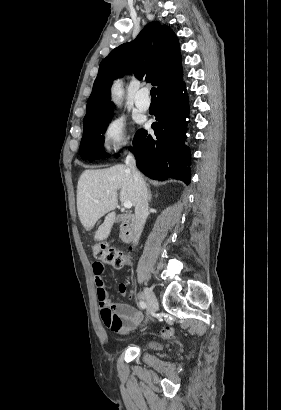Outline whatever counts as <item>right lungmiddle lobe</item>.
Returning <instances> with one entry per match:
<instances>
[{"mask_svg":"<svg viewBox=\"0 0 281 410\" xmlns=\"http://www.w3.org/2000/svg\"><path fill=\"white\" fill-rule=\"evenodd\" d=\"M113 112L98 119L83 124V137L80 145V155L84 160L93 161L109 157L104 152V136L108 123L111 121Z\"/></svg>","mask_w":281,"mask_h":410,"instance_id":"obj_1","label":"right lung middle lobe"}]
</instances>
